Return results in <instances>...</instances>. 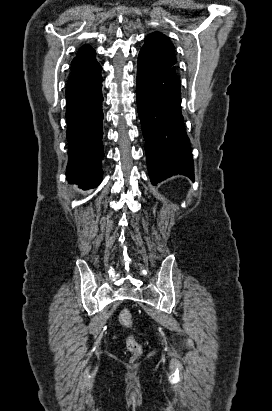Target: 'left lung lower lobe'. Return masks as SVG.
<instances>
[{
	"instance_id": "left-lung-lower-lobe-1",
	"label": "left lung lower lobe",
	"mask_w": 272,
	"mask_h": 411,
	"mask_svg": "<svg viewBox=\"0 0 272 411\" xmlns=\"http://www.w3.org/2000/svg\"><path fill=\"white\" fill-rule=\"evenodd\" d=\"M137 80L138 114L152 184L176 174L193 180L194 164L181 113L177 73L140 50Z\"/></svg>"
}]
</instances>
